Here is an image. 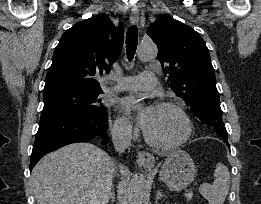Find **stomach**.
Returning a JSON list of instances; mask_svg holds the SVG:
<instances>
[{
  "mask_svg": "<svg viewBox=\"0 0 261 204\" xmlns=\"http://www.w3.org/2000/svg\"><path fill=\"white\" fill-rule=\"evenodd\" d=\"M196 175L191 156L185 151L171 152L161 167L159 176L170 190L180 191L189 186Z\"/></svg>",
  "mask_w": 261,
  "mask_h": 204,
  "instance_id": "obj_1",
  "label": "stomach"
}]
</instances>
